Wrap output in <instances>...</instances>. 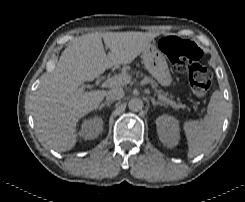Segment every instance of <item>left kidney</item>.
I'll list each match as a JSON object with an SVG mask.
<instances>
[{
	"label": "left kidney",
	"mask_w": 245,
	"mask_h": 202,
	"mask_svg": "<svg viewBox=\"0 0 245 202\" xmlns=\"http://www.w3.org/2000/svg\"><path fill=\"white\" fill-rule=\"evenodd\" d=\"M156 127L159 140L163 145L172 148L179 143V121L172 116L162 115L156 119Z\"/></svg>",
	"instance_id": "1"
}]
</instances>
